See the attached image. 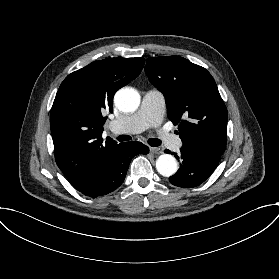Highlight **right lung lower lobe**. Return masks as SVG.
Listing matches in <instances>:
<instances>
[{
  "label": "right lung lower lobe",
  "instance_id": "obj_1",
  "mask_svg": "<svg viewBox=\"0 0 279 279\" xmlns=\"http://www.w3.org/2000/svg\"><path fill=\"white\" fill-rule=\"evenodd\" d=\"M148 152L149 148L140 142L122 143L102 173L78 191L92 198L114 191L123 183L131 159Z\"/></svg>",
  "mask_w": 279,
  "mask_h": 279
}]
</instances>
